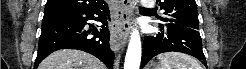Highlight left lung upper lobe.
Masks as SVG:
<instances>
[{"label": "left lung upper lobe", "instance_id": "left-lung-upper-lobe-1", "mask_svg": "<svg viewBox=\"0 0 246 69\" xmlns=\"http://www.w3.org/2000/svg\"><path fill=\"white\" fill-rule=\"evenodd\" d=\"M165 17H158L165 26L184 27L198 31L199 20L195 0H157ZM164 26V25H163Z\"/></svg>", "mask_w": 246, "mask_h": 69}]
</instances>
